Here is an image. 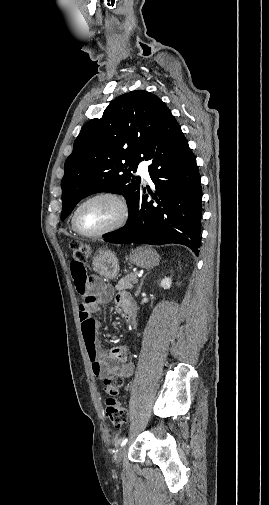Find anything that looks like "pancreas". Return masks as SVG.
<instances>
[{
    "mask_svg": "<svg viewBox=\"0 0 269 505\" xmlns=\"http://www.w3.org/2000/svg\"><path fill=\"white\" fill-rule=\"evenodd\" d=\"M136 282H137V273L133 272V273L126 275L121 280H119V282L115 286V288L118 291L132 289Z\"/></svg>",
    "mask_w": 269,
    "mask_h": 505,
    "instance_id": "obj_1",
    "label": "pancreas"
}]
</instances>
